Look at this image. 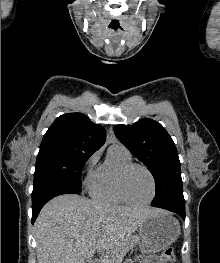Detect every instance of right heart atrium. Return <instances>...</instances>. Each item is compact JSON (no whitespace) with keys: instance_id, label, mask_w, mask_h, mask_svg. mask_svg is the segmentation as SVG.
I'll return each instance as SVG.
<instances>
[{"instance_id":"d8ad5b80","label":"right heart atrium","mask_w":220,"mask_h":263,"mask_svg":"<svg viewBox=\"0 0 220 263\" xmlns=\"http://www.w3.org/2000/svg\"><path fill=\"white\" fill-rule=\"evenodd\" d=\"M100 156V152L96 151L95 153H93L89 159L87 160V167L89 168H93L95 166V164L97 163L98 159Z\"/></svg>"}]
</instances>
